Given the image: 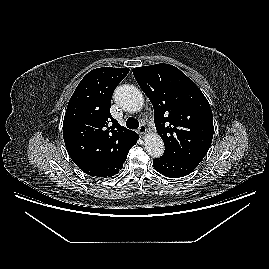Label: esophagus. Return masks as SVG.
Listing matches in <instances>:
<instances>
[{"mask_svg":"<svg viewBox=\"0 0 269 269\" xmlns=\"http://www.w3.org/2000/svg\"><path fill=\"white\" fill-rule=\"evenodd\" d=\"M147 132V128L144 124L140 125V127L138 128V133L141 135V136H144Z\"/></svg>","mask_w":269,"mask_h":269,"instance_id":"1","label":"esophagus"}]
</instances>
